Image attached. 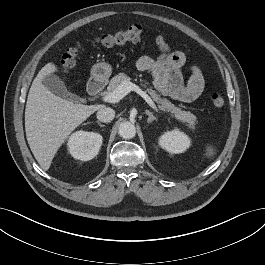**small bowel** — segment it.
Instances as JSON below:
<instances>
[{"label":"small bowel","instance_id":"obj_1","mask_svg":"<svg viewBox=\"0 0 265 265\" xmlns=\"http://www.w3.org/2000/svg\"><path fill=\"white\" fill-rule=\"evenodd\" d=\"M156 44L160 55L157 58L147 55L138 58V70L153 75L155 88L161 95L181 102L196 100L204 89L205 82L201 70L195 65L189 66L190 76L185 83L182 76V68L186 64L184 52L172 50L163 35L156 37Z\"/></svg>","mask_w":265,"mask_h":265}]
</instances>
